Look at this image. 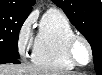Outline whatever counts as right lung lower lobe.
<instances>
[{
  "label": "right lung lower lobe",
  "instance_id": "1",
  "mask_svg": "<svg viewBox=\"0 0 102 75\" xmlns=\"http://www.w3.org/2000/svg\"><path fill=\"white\" fill-rule=\"evenodd\" d=\"M5 63L18 64L20 62L18 61V59L12 58V57H2V58H0V64H5Z\"/></svg>",
  "mask_w": 102,
  "mask_h": 75
}]
</instances>
